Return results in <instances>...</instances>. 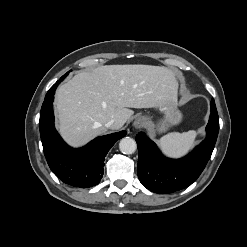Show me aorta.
<instances>
[{
  "instance_id": "1",
  "label": "aorta",
  "mask_w": 247,
  "mask_h": 247,
  "mask_svg": "<svg viewBox=\"0 0 247 247\" xmlns=\"http://www.w3.org/2000/svg\"><path fill=\"white\" fill-rule=\"evenodd\" d=\"M119 149L123 154H133L137 149V144L133 138H122L119 143Z\"/></svg>"
}]
</instances>
